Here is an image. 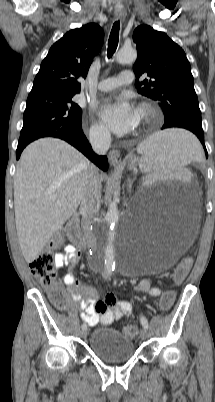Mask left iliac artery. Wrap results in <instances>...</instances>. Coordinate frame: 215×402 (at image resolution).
Masks as SVG:
<instances>
[{
  "mask_svg": "<svg viewBox=\"0 0 215 402\" xmlns=\"http://www.w3.org/2000/svg\"><path fill=\"white\" fill-rule=\"evenodd\" d=\"M140 321H141V324H142V326L144 327V328H146V329H148V321H147V319L142 315L141 316V318H140Z\"/></svg>",
  "mask_w": 215,
  "mask_h": 402,
  "instance_id": "1",
  "label": "left iliac artery"
}]
</instances>
